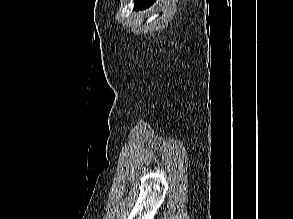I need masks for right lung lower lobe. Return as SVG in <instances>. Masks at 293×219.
Segmentation results:
<instances>
[{
	"label": "right lung lower lobe",
	"instance_id": "98d812e1",
	"mask_svg": "<svg viewBox=\"0 0 293 219\" xmlns=\"http://www.w3.org/2000/svg\"><path fill=\"white\" fill-rule=\"evenodd\" d=\"M155 0H135V8L143 10L153 4Z\"/></svg>",
	"mask_w": 293,
	"mask_h": 219
}]
</instances>
